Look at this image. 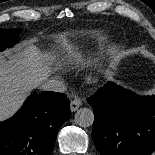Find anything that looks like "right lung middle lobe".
<instances>
[{
  "label": "right lung middle lobe",
  "instance_id": "right-lung-middle-lobe-1",
  "mask_svg": "<svg viewBox=\"0 0 155 155\" xmlns=\"http://www.w3.org/2000/svg\"><path fill=\"white\" fill-rule=\"evenodd\" d=\"M16 33L14 29H0V51L16 43Z\"/></svg>",
  "mask_w": 155,
  "mask_h": 155
}]
</instances>
